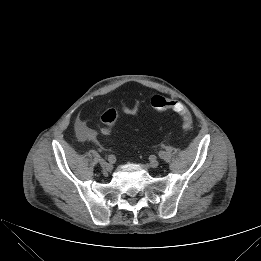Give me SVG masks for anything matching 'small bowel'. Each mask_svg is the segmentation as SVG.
<instances>
[{"label":"small bowel","mask_w":261,"mask_h":261,"mask_svg":"<svg viewBox=\"0 0 261 261\" xmlns=\"http://www.w3.org/2000/svg\"><path fill=\"white\" fill-rule=\"evenodd\" d=\"M140 107L139 101H135L133 104H128L123 102L121 105L122 111L127 115H134L138 112ZM75 131L77 137L81 141H91L97 142L98 140V132L89 127L84 119L78 118L75 123Z\"/></svg>","instance_id":"obj_1"}]
</instances>
